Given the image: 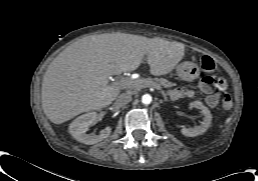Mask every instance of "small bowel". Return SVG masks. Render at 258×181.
I'll return each mask as SVG.
<instances>
[{
  "label": "small bowel",
  "instance_id": "c3829d8e",
  "mask_svg": "<svg viewBox=\"0 0 258 181\" xmlns=\"http://www.w3.org/2000/svg\"><path fill=\"white\" fill-rule=\"evenodd\" d=\"M200 91L206 95V104L213 108L217 105L221 93L226 89V82L223 79L215 80L213 77H204L199 83ZM195 95L192 89H176L172 92V97L192 98Z\"/></svg>",
  "mask_w": 258,
  "mask_h": 181
}]
</instances>
